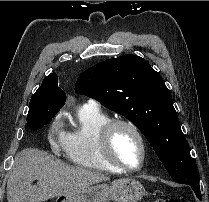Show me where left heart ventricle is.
I'll use <instances>...</instances> for the list:
<instances>
[{
  "label": "left heart ventricle",
  "instance_id": "b2bd125f",
  "mask_svg": "<svg viewBox=\"0 0 209 202\" xmlns=\"http://www.w3.org/2000/svg\"><path fill=\"white\" fill-rule=\"evenodd\" d=\"M111 149L114 157L122 163L136 167L141 162L142 151L137 136L126 127H118L111 137Z\"/></svg>",
  "mask_w": 209,
  "mask_h": 202
}]
</instances>
